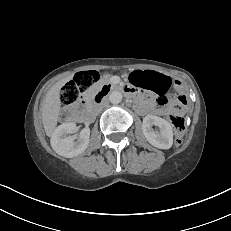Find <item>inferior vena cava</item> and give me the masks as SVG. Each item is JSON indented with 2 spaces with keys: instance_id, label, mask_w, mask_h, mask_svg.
Segmentation results:
<instances>
[{
  "instance_id": "obj_1",
  "label": "inferior vena cava",
  "mask_w": 231,
  "mask_h": 231,
  "mask_svg": "<svg viewBox=\"0 0 231 231\" xmlns=\"http://www.w3.org/2000/svg\"><path fill=\"white\" fill-rule=\"evenodd\" d=\"M106 106V103H104L101 107L98 108V112L101 111Z\"/></svg>"
}]
</instances>
